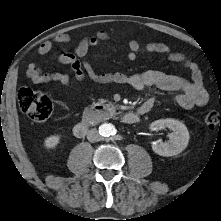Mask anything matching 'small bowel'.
I'll return each instance as SVG.
<instances>
[{"mask_svg": "<svg viewBox=\"0 0 221 221\" xmlns=\"http://www.w3.org/2000/svg\"><path fill=\"white\" fill-rule=\"evenodd\" d=\"M109 39L106 31H98L95 35L85 37L74 47L73 51L65 52L59 55L57 61L61 65L71 67L74 77L78 81L90 79L96 83H119L128 84L136 90H142L147 86H153L165 91L176 92L175 102L184 109L204 106L208 102V93L203 87L202 75L196 63L190 61L180 52L173 51L164 43L151 42L141 45L136 40H131L125 51V57L128 60H134L141 53L156 55L162 54L174 63L182 64L191 73V79H185L180 76L166 74L158 70H148L142 73L128 75L121 72L99 73L91 63L84 57L89 50L99 45L101 42ZM71 41L68 34L62 33L56 35L51 40L42 42L37 52L43 56L48 54L54 45L67 44ZM27 77L34 84H44L56 82L63 86H71V78L68 74L62 72H45L37 63H30L26 71ZM154 98L147 99L139 108V112L146 113L154 105Z\"/></svg>", "mask_w": 221, "mask_h": 221, "instance_id": "small-bowel-1", "label": "small bowel"}]
</instances>
